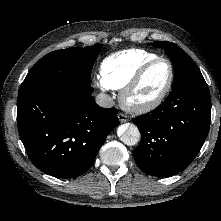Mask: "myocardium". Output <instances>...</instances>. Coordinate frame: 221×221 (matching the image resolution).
Masks as SVG:
<instances>
[{
  "instance_id": "1",
  "label": "myocardium",
  "mask_w": 221,
  "mask_h": 221,
  "mask_svg": "<svg viewBox=\"0 0 221 221\" xmlns=\"http://www.w3.org/2000/svg\"><path fill=\"white\" fill-rule=\"evenodd\" d=\"M160 62H165L169 66V78L162 91L155 98L149 101L145 102L132 101L131 97L135 92V90L137 89V87L139 86V84L141 83V81L143 80L144 76L155 64ZM174 76H175L174 67L170 60L163 57H157L155 59L148 61L135 73V75L131 78V80L122 89L120 94L121 105L127 111L138 114L154 110L160 104H162V102L169 94L173 85Z\"/></svg>"
}]
</instances>
